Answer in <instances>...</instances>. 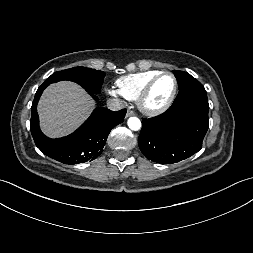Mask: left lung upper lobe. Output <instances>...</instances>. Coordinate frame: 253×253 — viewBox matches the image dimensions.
I'll return each instance as SVG.
<instances>
[{
  "instance_id": "1",
  "label": "left lung upper lobe",
  "mask_w": 253,
  "mask_h": 253,
  "mask_svg": "<svg viewBox=\"0 0 253 253\" xmlns=\"http://www.w3.org/2000/svg\"><path fill=\"white\" fill-rule=\"evenodd\" d=\"M173 73L177 79L179 90L190 86L193 82L196 81V79L189 73L183 71H173Z\"/></svg>"
}]
</instances>
